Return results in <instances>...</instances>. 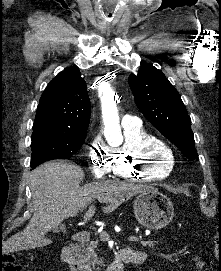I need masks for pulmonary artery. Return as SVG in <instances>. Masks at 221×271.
<instances>
[{
    "instance_id": "1",
    "label": "pulmonary artery",
    "mask_w": 221,
    "mask_h": 271,
    "mask_svg": "<svg viewBox=\"0 0 221 271\" xmlns=\"http://www.w3.org/2000/svg\"><path fill=\"white\" fill-rule=\"evenodd\" d=\"M142 122H137V117H124V122H120V127H142ZM140 128H126V133H122V138H138Z\"/></svg>"
}]
</instances>
